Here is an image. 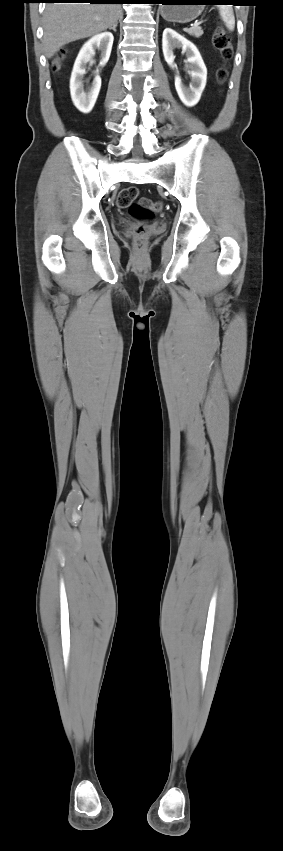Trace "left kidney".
Returning <instances> with one entry per match:
<instances>
[{
	"instance_id": "obj_1",
	"label": "left kidney",
	"mask_w": 283,
	"mask_h": 851,
	"mask_svg": "<svg viewBox=\"0 0 283 851\" xmlns=\"http://www.w3.org/2000/svg\"><path fill=\"white\" fill-rule=\"evenodd\" d=\"M175 48H181L187 56L186 68L191 76L189 87L182 83L174 63ZM162 49L165 61L173 70H176L175 88L179 98L186 106L193 107L199 102L207 80V69L197 47L173 29L166 28L162 36Z\"/></svg>"
}]
</instances>
